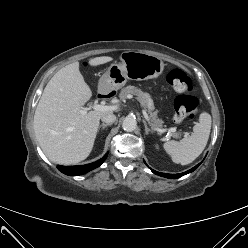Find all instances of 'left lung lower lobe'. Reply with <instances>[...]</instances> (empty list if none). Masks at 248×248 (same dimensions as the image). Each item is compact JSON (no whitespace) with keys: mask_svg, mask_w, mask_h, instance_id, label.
<instances>
[{"mask_svg":"<svg viewBox=\"0 0 248 248\" xmlns=\"http://www.w3.org/2000/svg\"><path fill=\"white\" fill-rule=\"evenodd\" d=\"M200 164H201V163H199L198 165H196V166L193 167L192 169H190V170H188V171H186V172H184V173H180V174H167V173L157 172V171H155V170H153V169H151V170H152L153 173H155V174H157V175H159V176L166 177V178H170V179H176V178L182 177L183 175H186V174H188V173L193 172Z\"/></svg>","mask_w":248,"mask_h":248,"instance_id":"left-lung-lower-lobe-1","label":"left lung lower lobe"}]
</instances>
